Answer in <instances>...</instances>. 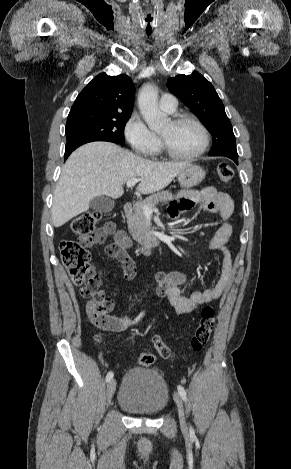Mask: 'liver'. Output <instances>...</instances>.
<instances>
[{
	"label": "liver",
	"instance_id": "1",
	"mask_svg": "<svg viewBox=\"0 0 291 469\" xmlns=\"http://www.w3.org/2000/svg\"><path fill=\"white\" fill-rule=\"evenodd\" d=\"M189 165L148 160L110 142L83 145L63 166L53 197V225L60 227L86 212L94 197H121L123 185L132 178L140 179L137 191L142 194L159 191Z\"/></svg>",
	"mask_w": 291,
	"mask_h": 469
}]
</instances>
